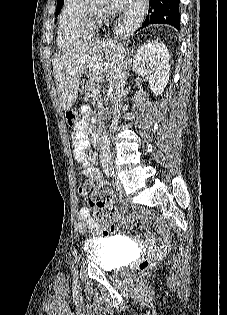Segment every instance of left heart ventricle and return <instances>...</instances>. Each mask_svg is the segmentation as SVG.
Returning <instances> with one entry per match:
<instances>
[{"label": "left heart ventricle", "instance_id": "obj_1", "mask_svg": "<svg viewBox=\"0 0 227 315\" xmlns=\"http://www.w3.org/2000/svg\"><path fill=\"white\" fill-rule=\"evenodd\" d=\"M88 8L94 13H100L102 6L97 4H88Z\"/></svg>", "mask_w": 227, "mask_h": 315}]
</instances>
